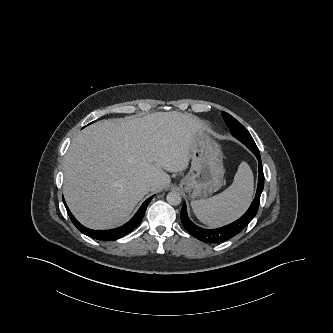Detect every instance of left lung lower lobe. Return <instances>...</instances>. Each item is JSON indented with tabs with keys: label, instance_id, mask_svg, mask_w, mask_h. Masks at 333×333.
I'll return each mask as SVG.
<instances>
[{
	"label": "left lung lower lobe",
	"instance_id": "0a47b994",
	"mask_svg": "<svg viewBox=\"0 0 333 333\" xmlns=\"http://www.w3.org/2000/svg\"><path fill=\"white\" fill-rule=\"evenodd\" d=\"M257 157L259 162V176L256 196L246 213L235 222L217 229H203L190 221L187 215L186 204L183 203L181 210V222L184 228L195 238L206 243H220L232 238L241 232L254 218L258 211L260 196L264 187V174L258 148H249Z\"/></svg>",
	"mask_w": 333,
	"mask_h": 333
}]
</instances>
